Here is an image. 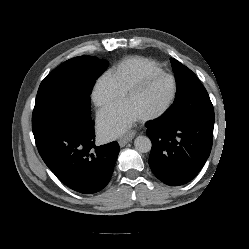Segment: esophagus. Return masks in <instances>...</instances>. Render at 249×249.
<instances>
[{
  "label": "esophagus",
  "instance_id": "1",
  "mask_svg": "<svg viewBox=\"0 0 249 249\" xmlns=\"http://www.w3.org/2000/svg\"><path fill=\"white\" fill-rule=\"evenodd\" d=\"M136 132L135 131H131L128 134H126L125 136H123L122 138L119 139V145L121 147H124L128 142H130L134 136H135Z\"/></svg>",
  "mask_w": 249,
  "mask_h": 249
}]
</instances>
